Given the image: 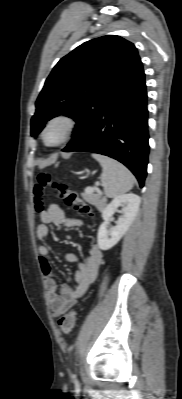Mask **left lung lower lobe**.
Here are the masks:
<instances>
[{"instance_id": "left-lung-lower-lobe-1", "label": "left lung lower lobe", "mask_w": 182, "mask_h": 399, "mask_svg": "<svg viewBox=\"0 0 182 399\" xmlns=\"http://www.w3.org/2000/svg\"><path fill=\"white\" fill-rule=\"evenodd\" d=\"M148 110L143 69L121 87L89 128L62 151H86L114 158L144 186L148 164Z\"/></svg>"}]
</instances>
